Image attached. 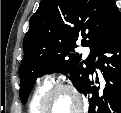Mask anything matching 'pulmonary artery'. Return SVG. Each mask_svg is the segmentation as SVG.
Instances as JSON below:
<instances>
[{
    "label": "pulmonary artery",
    "mask_w": 121,
    "mask_h": 113,
    "mask_svg": "<svg viewBox=\"0 0 121 113\" xmlns=\"http://www.w3.org/2000/svg\"><path fill=\"white\" fill-rule=\"evenodd\" d=\"M83 54H84V56H87V55L89 54V51L86 49V50H84ZM95 71H96L98 74H100V70H99L98 66L95 68Z\"/></svg>",
    "instance_id": "obj_1"
}]
</instances>
